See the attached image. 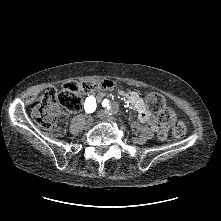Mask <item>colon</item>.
Listing matches in <instances>:
<instances>
[{
	"mask_svg": "<svg viewBox=\"0 0 221 221\" xmlns=\"http://www.w3.org/2000/svg\"><path fill=\"white\" fill-rule=\"evenodd\" d=\"M111 80L98 83L69 81L57 91L54 88L46 90L31 106V115L34 121L44 130L56 128L57 117L61 108L70 112H78L83 105V95L94 91H108L113 89ZM146 100L150 108L158 114L159 128L157 137L166 140L168 137L167 126L173 123V133L177 138H182L186 133V126L182 121H175L172 110L166 105L164 98L158 93H148Z\"/></svg>",
	"mask_w": 221,
	"mask_h": 221,
	"instance_id": "colon-1",
	"label": "colon"
}]
</instances>
